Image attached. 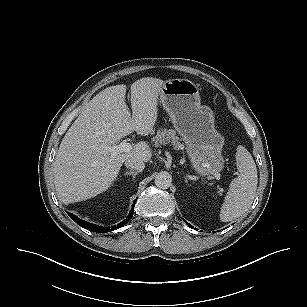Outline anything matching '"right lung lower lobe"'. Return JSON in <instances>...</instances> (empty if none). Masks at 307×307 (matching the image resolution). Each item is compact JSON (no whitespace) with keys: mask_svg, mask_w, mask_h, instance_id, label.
<instances>
[{"mask_svg":"<svg viewBox=\"0 0 307 307\" xmlns=\"http://www.w3.org/2000/svg\"><path fill=\"white\" fill-rule=\"evenodd\" d=\"M136 201V200H135ZM135 201L133 203V207L130 211V214L128 215L127 219H125L122 223L118 224L117 226L114 227H101V226H97L88 222H85L81 219H79L78 217H76L75 215H73L72 213L67 212V214L81 227L89 230V231H93V232H97V233H106V232H110L113 230H116L122 226H124L129 219H131L133 217V213H134V205H135Z\"/></svg>","mask_w":307,"mask_h":307,"instance_id":"obj_1","label":"right lung lower lobe"}]
</instances>
